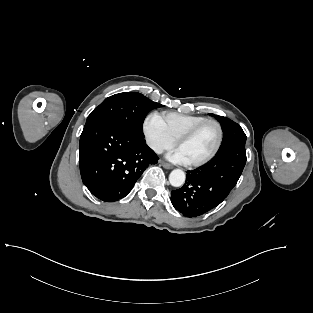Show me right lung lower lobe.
I'll return each instance as SVG.
<instances>
[{
  "label": "right lung lower lobe",
  "instance_id": "1",
  "mask_svg": "<svg viewBox=\"0 0 313 313\" xmlns=\"http://www.w3.org/2000/svg\"><path fill=\"white\" fill-rule=\"evenodd\" d=\"M158 156L144 140L109 120L85 126L79 143L82 181L98 199L114 202L125 197Z\"/></svg>",
  "mask_w": 313,
  "mask_h": 313
}]
</instances>
